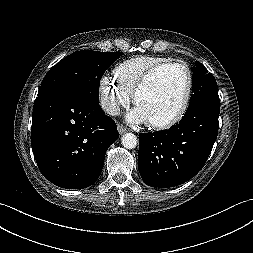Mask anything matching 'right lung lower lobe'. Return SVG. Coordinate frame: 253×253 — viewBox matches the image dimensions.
Listing matches in <instances>:
<instances>
[{
  "mask_svg": "<svg viewBox=\"0 0 253 253\" xmlns=\"http://www.w3.org/2000/svg\"><path fill=\"white\" fill-rule=\"evenodd\" d=\"M119 137L99 102L50 91L36 98L31 146L37 165L53 184L82 189L99 177L109 146Z\"/></svg>",
  "mask_w": 253,
  "mask_h": 253,
  "instance_id": "98d812e1",
  "label": "right lung lower lobe"
}]
</instances>
